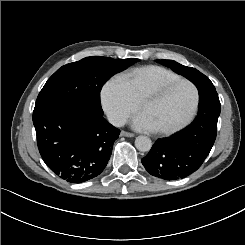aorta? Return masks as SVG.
<instances>
[{
    "label": "aorta",
    "mask_w": 245,
    "mask_h": 245,
    "mask_svg": "<svg viewBox=\"0 0 245 245\" xmlns=\"http://www.w3.org/2000/svg\"><path fill=\"white\" fill-rule=\"evenodd\" d=\"M135 147L141 152H147L152 147V141L147 136H138L135 139Z\"/></svg>",
    "instance_id": "aorta-1"
}]
</instances>
